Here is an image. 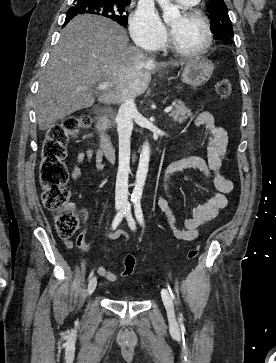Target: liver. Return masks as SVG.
I'll use <instances>...</instances> for the list:
<instances>
[{
    "label": "liver",
    "mask_w": 276,
    "mask_h": 363,
    "mask_svg": "<svg viewBox=\"0 0 276 363\" xmlns=\"http://www.w3.org/2000/svg\"><path fill=\"white\" fill-rule=\"evenodd\" d=\"M128 42L126 30L110 19L74 17L63 29L39 77V129L44 131L56 121L91 107L97 83L108 81L114 87L98 95L104 104L144 94L151 81L150 71L158 65L150 64L147 55Z\"/></svg>",
    "instance_id": "1"
}]
</instances>
